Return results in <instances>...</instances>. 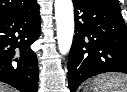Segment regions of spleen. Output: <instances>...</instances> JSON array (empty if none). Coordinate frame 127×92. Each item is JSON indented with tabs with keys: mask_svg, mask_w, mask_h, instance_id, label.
Listing matches in <instances>:
<instances>
[{
	"mask_svg": "<svg viewBox=\"0 0 127 92\" xmlns=\"http://www.w3.org/2000/svg\"><path fill=\"white\" fill-rule=\"evenodd\" d=\"M93 92H127V75L108 73L93 80Z\"/></svg>",
	"mask_w": 127,
	"mask_h": 92,
	"instance_id": "3e777b00",
	"label": "spleen"
}]
</instances>
